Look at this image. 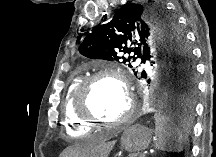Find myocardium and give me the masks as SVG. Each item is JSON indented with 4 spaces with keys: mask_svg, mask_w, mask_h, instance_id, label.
<instances>
[{
    "mask_svg": "<svg viewBox=\"0 0 216 157\" xmlns=\"http://www.w3.org/2000/svg\"><path fill=\"white\" fill-rule=\"evenodd\" d=\"M110 78L117 82L123 90L126 100L127 109L125 113L114 122H106L98 118L90 108V92L92 85L99 79ZM74 109L79 118L90 125H102L106 127H120L129 123L135 112V102L129 85L123 75L115 70H102L90 76L85 77L79 84L74 98Z\"/></svg>",
    "mask_w": 216,
    "mask_h": 157,
    "instance_id": "f54148a6",
    "label": "myocardium"
}]
</instances>
